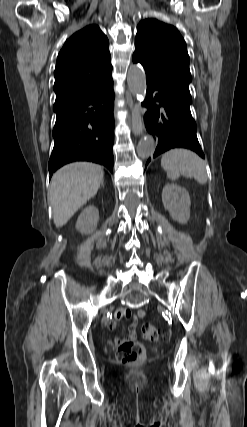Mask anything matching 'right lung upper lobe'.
I'll return each mask as SVG.
<instances>
[{
    "label": "right lung upper lobe",
    "mask_w": 247,
    "mask_h": 427,
    "mask_svg": "<svg viewBox=\"0 0 247 427\" xmlns=\"http://www.w3.org/2000/svg\"><path fill=\"white\" fill-rule=\"evenodd\" d=\"M109 41L97 25L72 35L61 49L55 68L56 101L85 93L111 80Z\"/></svg>",
    "instance_id": "obj_1"
}]
</instances>
